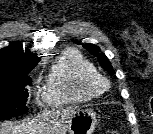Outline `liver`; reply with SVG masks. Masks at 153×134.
I'll list each match as a JSON object with an SVG mask.
<instances>
[{
  "label": "liver",
  "mask_w": 153,
  "mask_h": 134,
  "mask_svg": "<svg viewBox=\"0 0 153 134\" xmlns=\"http://www.w3.org/2000/svg\"><path fill=\"white\" fill-rule=\"evenodd\" d=\"M76 111V108H66L45 113L29 122L2 123L0 134H42L43 132L65 134Z\"/></svg>",
  "instance_id": "obj_1"
}]
</instances>
